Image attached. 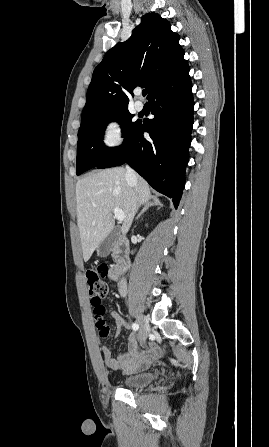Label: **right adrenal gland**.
I'll use <instances>...</instances> for the list:
<instances>
[{
	"mask_svg": "<svg viewBox=\"0 0 269 447\" xmlns=\"http://www.w3.org/2000/svg\"><path fill=\"white\" fill-rule=\"evenodd\" d=\"M152 206H160V208H162L163 204H161L160 200H158V198H155V196H152L151 198V202H149V204H146V206H144L142 212H140L139 216H137L136 220H140L141 216H143L144 212H146V210H149V208H152ZM159 210V208H158Z\"/></svg>",
	"mask_w": 269,
	"mask_h": 447,
	"instance_id": "right-adrenal-gland-1",
	"label": "right adrenal gland"
}]
</instances>
